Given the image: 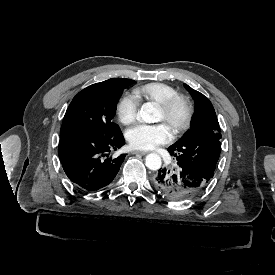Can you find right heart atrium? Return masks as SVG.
Listing matches in <instances>:
<instances>
[{"label":"right heart atrium","mask_w":275,"mask_h":275,"mask_svg":"<svg viewBox=\"0 0 275 275\" xmlns=\"http://www.w3.org/2000/svg\"><path fill=\"white\" fill-rule=\"evenodd\" d=\"M140 100L132 93H125L117 104V114L119 120L125 124H131L137 117Z\"/></svg>","instance_id":"obj_1"}]
</instances>
